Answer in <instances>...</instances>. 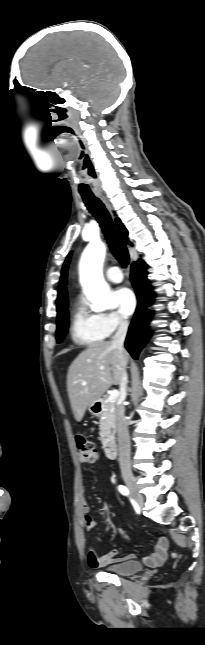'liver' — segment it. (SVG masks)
I'll return each instance as SVG.
<instances>
[{
  "instance_id": "1",
  "label": "liver",
  "mask_w": 205,
  "mask_h": 645,
  "mask_svg": "<svg viewBox=\"0 0 205 645\" xmlns=\"http://www.w3.org/2000/svg\"><path fill=\"white\" fill-rule=\"evenodd\" d=\"M128 360V354L121 353L111 342H97L72 362L67 374V392L77 422L111 385H120L123 364Z\"/></svg>"
}]
</instances>
